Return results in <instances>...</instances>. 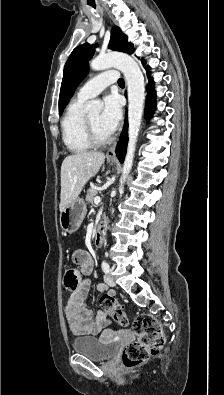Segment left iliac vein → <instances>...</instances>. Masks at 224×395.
<instances>
[{
  "label": "left iliac vein",
  "instance_id": "left-iliac-vein-1",
  "mask_svg": "<svg viewBox=\"0 0 224 395\" xmlns=\"http://www.w3.org/2000/svg\"><path fill=\"white\" fill-rule=\"evenodd\" d=\"M104 281L106 282L107 285H109L110 287L115 286V280L113 278V276L110 273H106L104 276Z\"/></svg>",
  "mask_w": 224,
  "mask_h": 395
}]
</instances>
